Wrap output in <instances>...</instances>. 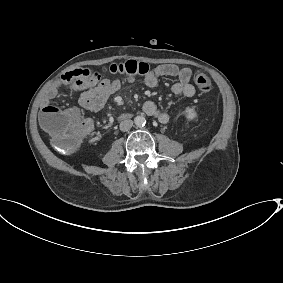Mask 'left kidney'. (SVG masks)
Listing matches in <instances>:
<instances>
[{"label": "left kidney", "mask_w": 283, "mask_h": 283, "mask_svg": "<svg viewBox=\"0 0 283 283\" xmlns=\"http://www.w3.org/2000/svg\"><path fill=\"white\" fill-rule=\"evenodd\" d=\"M184 117L188 122H194L198 118V113L195 108L188 106L184 108Z\"/></svg>", "instance_id": "left-kidney-1"}]
</instances>
